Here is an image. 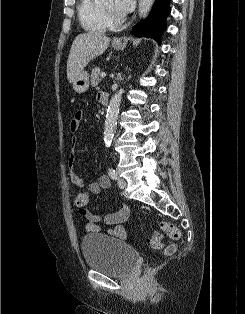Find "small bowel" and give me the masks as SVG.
<instances>
[{"label": "small bowel", "instance_id": "c3829d8e", "mask_svg": "<svg viewBox=\"0 0 245 314\" xmlns=\"http://www.w3.org/2000/svg\"><path fill=\"white\" fill-rule=\"evenodd\" d=\"M83 113L82 111L75 112L71 122H70V130L72 133H75L80 125L82 120ZM72 151L69 156L68 169H69V177L70 182L75 187H86V191L90 194H99L102 189L108 190L111 188L112 183L111 180L102 175L98 177L96 182H92L89 184H85L83 178L78 174L76 170V153L74 151L77 145L76 136L72 137L71 140ZM80 213L88 220L87 225L85 226V230L87 232H103L111 238L118 240H126L128 237V232L123 227V223L128 219L130 214V209L126 204H123L116 211L107 214L104 218L92 213L89 210L80 211ZM102 221L108 228H102L98 222Z\"/></svg>", "mask_w": 245, "mask_h": 314}]
</instances>
